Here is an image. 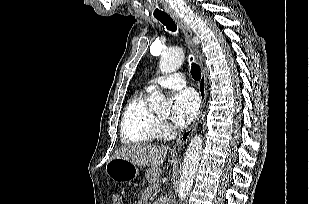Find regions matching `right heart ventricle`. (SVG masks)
<instances>
[{
  "instance_id": "right-heart-ventricle-1",
  "label": "right heart ventricle",
  "mask_w": 309,
  "mask_h": 204,
  "mask_svg": "<svg viewBox=\"0 0 309 204\" xmlns=\"http://www.w3.org/2000/svg\"><path fill=\"white\" fill-rule=\"evenodd\" d=\"M148 94L141 93L127 104L121 121V140L126 144L145 143L159 136V120L149 109Z\"/></svg>"
}]
</instances>
